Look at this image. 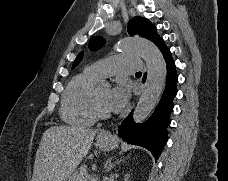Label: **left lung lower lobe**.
Returning <instances> with one entry per match:
<instances>
[{
  "label": "left lung lower lobe",
  "instance_id": "0a47b994",
  "mask_svg": "<svg viewBox=\"0 0 228 181\" xmlns=\"http://www.w3.org/2000/svg\"><path fill=\"white\" fill-rule=\"evenodd\" d=\"M162 52L167 64L166 87L152 116L143 124L133 122L132 113L118 127V135L124 141L147 148L158 159L167 140L169 113L173 108L172 100L176 95L177 74L169 49L163 39L155 43ZM145 79V77H144Z\"/></svg>",
  "mask_w": 228,
  "mask_h": 181
}]
</instances>
